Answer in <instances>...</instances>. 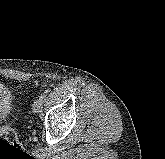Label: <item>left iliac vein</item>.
Here are the masks:
<instances>
[{
	"mask_svg": "<svg viewBox=\"0 0 165 159\" xmlns=\"http://www.w3.org/2000/svg\"><path fill=\"white\" fill-rule=\"evenodd\" d=\"M43 101L40 99L35 100L33 103V111L39 112L42 109Z\"/></svg>",
	"mask_w": 165,
	"mask_h": 159,
	"instance_id": "obj_1",
	"label": "left iliac vein"
}]
</instances>
